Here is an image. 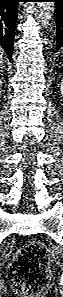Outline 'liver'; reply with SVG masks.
I'll return each mask as SVG.
<instances>
[{
	"instance_id": "liver-1",
	"label": "liver",
	"mask_w": 63,
	"mask_h": 297,
	"mask_svg": "<svg viewBox=\"0 0 63 297\" xmlns=\"http://www.w3.org/2000/svg\"><path fill=\"white\" fill-rule=\"evenodd\" d=\"M2 53V52H1ZM1 58H2V56H1ZM0 63H3V61H2V59H1V62Z\"/></svg>"
}]
</instances>
